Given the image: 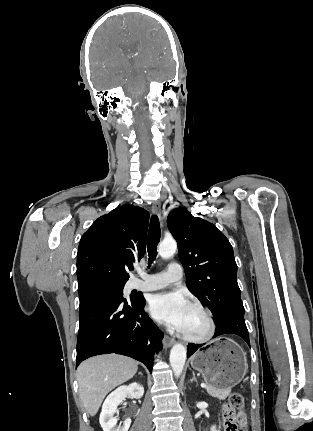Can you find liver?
Listing matches in <instances>:
<instances>
[{"label": "liver", "instance_id": "obj_1", "mask_svg": "<svg viewBox=\"0 0 313 431\" xmlns=\"http://www.w3.org/2000/svg\"><path fill=\"white\" fill-rule=\"evenodd\" d=\"M135 360L110 354L89 358L77 369L79 394L86 412L95 416L105 396L137 372Z\"/></svg>", "mask_w": 313, "mask_h": 431}]
</instances>
